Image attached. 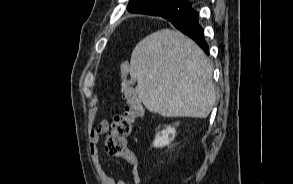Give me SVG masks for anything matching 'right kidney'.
Listing matches in <instances>:
<instances>
[{
	"instance_id": "right-kidney-1",
	"label": "right kidney",
	"mask_w": 293,
	"mask_h": 184,
	"mask_svg": "<svg viewBox=\"0 0 293 184\" xmlns=\"http://www.w3.org/2000/svg\"><path fill=\"white\" fill-rule=\"evenodd\" d=\"M175 126H179V122L174 124ZM176 130L175 127L168 126L166 129L158 132L153 141V146L156 148H162L164 146H168L175 138Z\"/></svg>"
}]
</instances>
